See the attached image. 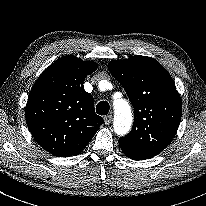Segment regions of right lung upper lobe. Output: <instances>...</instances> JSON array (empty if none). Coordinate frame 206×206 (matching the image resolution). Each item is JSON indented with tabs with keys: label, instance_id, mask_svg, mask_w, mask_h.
Listing matches in <instances>:
<instances>
[{
	"label": "right lung upper lobe",
	"instance_id": "cb5924a9",
	"mask_svg": "<svg viewBox=\"0 0 206 206\" xmlns=\"http://www.w3.org/2000/svg\"><path fill=\"white\" fill-rule=\"evenodd\" d=\"M93 61L64 56L51 64L34 84L26 105L29 130L37 143L58 157L80 153L104 120L95 114L94 98L84 90Z\"/></svg>",
	"mask_w": 206,
	"mask_h": 206
}]
</instances>
